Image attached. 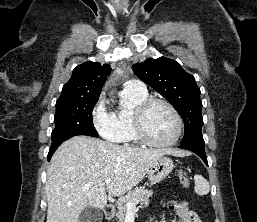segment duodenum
Returning a JSON list of instances; mask_svg holds the SVG:
<instances>
[{
  "instance_id": "410a0bca",
  "label": "duodenum",
  "mask_w": 257,
  "mask_h": 222,
  "mask_svg": "<svg viewBox=\"0 0 257 222\" xmlns=\"http://www.w3.org/2000/svg\"><path fill=\"white\" fill-rule=\"evenodd\" d=\"M103 213H104V216L107 218V219H110L112 216H113V213H114V206L111 205V204H107L103 207Z\"/></svg>"
}]
</instances>
